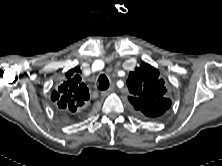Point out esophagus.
Wrapping results in <instances>:
<instances>
[{
  "instance_id": "esophagus-1",
  "label": "esophagus",
  "mask_w": 222,
  "mask_h": 166,
  "mask_svg": "<svg viewBox=\"0 0 222 166\" xmlns=\"http://www.w3.org/2000/svg\"><path fill=\"white\" fill-rule=\"evenodd\" d=\"M115 86L111 85V87L108 90L102 91L101 92V96L102 97H106L108 96L110 93H112L114 91Z\"/></svg>"
}]
</instances>
